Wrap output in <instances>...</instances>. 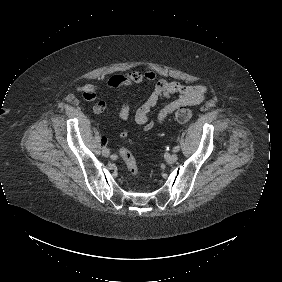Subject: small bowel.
Instances as JSON below:
<instances>
[{"label":"small bowel","mask_w":282,"mask_h":282,"mask_svg":"<svg viewBox=\"0 0 282 282\" xmlns=\"http://www.w3.org/2000/svg\"><path fill=\"white\" fill-rule=\"evenodd\" d=\"M155 83L146 101L136 110L134 114L135 122L141 126L145 131L151 130L155 125L162 124L170 116V110L173 106L180 103H187L190 106L197 105L203 102L206 98L207 87L203 85H184L175 81L167 79H158L156 72L148 70L145 72L132 71L125 75H114L108 82L107 87L110 89L121 86L142 85L143 83ZM84 99L94 100L99 92L97 85L88 84L77 88ZM140 91V90H139ZM171 95H176V99L161 108L158 113L151 118L150 114L157 103ZM107 103L103 100L98 101L94 107L95 114H101L105 111ZM131 116L130 101H122L119 108V117L123 120ZM121 139L128 136V131L122 129L119 133ZM107 139L103 138V144H106Z\"/></svg>","instance_id":"small-bowel-1"}]
</instances>
